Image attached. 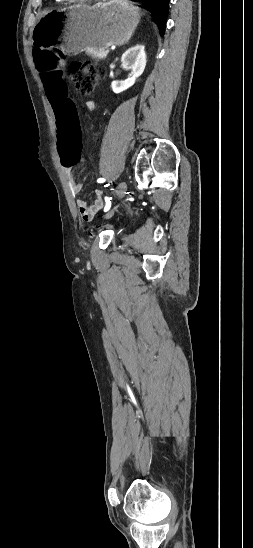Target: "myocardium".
Segmentation results:
<instances>
[{"label": "myocardium", "instance_id": "f54148a6", "mask_svg": "<svg viewBox=\"0 0 253 548\" xmlns=\"http://www.w3.org/2000/svg\"><path fill=\"white\" fill-rule=\"evenodd\" d=\"M68 2H86V1H96V0H63Z\"/></svg>", "mask_w": 253, "mask_h": 548}]
</instances>
